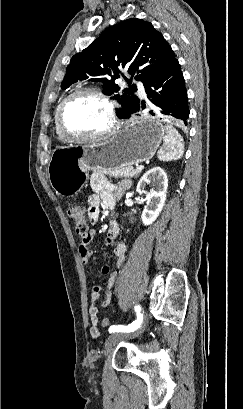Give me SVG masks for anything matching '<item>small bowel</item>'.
<instances>
[{"instance_id": "1", "label": "small bowel", "mask_w": 243, "mask_h": 409, "mask_svg": "<svg viewBox=\"0 0 243 409\" xmlns=\"http://www.w3.org/2000/svg\"><path fill=\"white\" fill-rule=\"evenodd\" d=\"M129 181L124 180L118 184H110L103 177L96 175L92 179V187L94 193L89 198V209L88 217L92 224H95L100 215V209L103 208L107 211L112 212L113 218L110 222L108 236L105 242L106 247L112 248L113 253L117 259V267H121L125 257H126V247L125 245L117 240L119 229L115 221L114 209L117 200L120 198L122 193L129 187ZM94 236V231H89L87 235L81 238L79 245V253L81 256L82 263L87 265L92 256V250L89 248V244ZM101 272L108 275V280L103 286H93L90 290L89 299V316L91 321L90 334L93 338H98L100 336V331L98 327V308L107 307L110 304L112 296V288L115 284L117 273L111 271L108 265H103ZM101 293H104L103 299L98 303Z\"/></svg>"}]
</instances>
